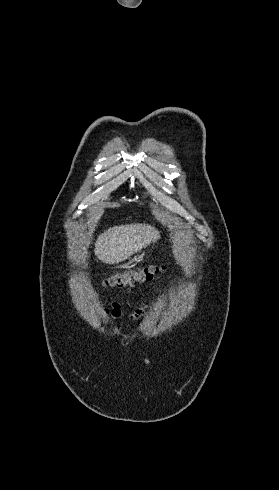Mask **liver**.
Masks as SVG:
<instances>
[{
  "instance_id": "6515ba94",
  "label": "liver",
  "mask_w": 279,
  "mask_h": 490,
  "mask_svg": "<svg viewBox=\"0 0 279 490\" xmlns=\"http://www.w3.org/2000/svg\"><path fill=\"white\" fill-rule=\"evenodd\" d=\"M159 236L160 232L149 224L115 226L98 236L94 254L104 264H120L156 242Z\"/></svg>"
}]
</instances>
